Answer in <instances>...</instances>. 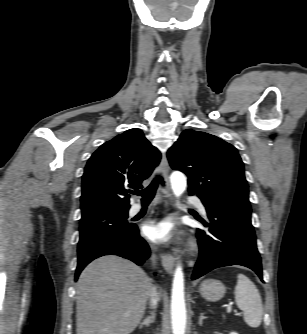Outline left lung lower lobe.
I'll return each instance as SVG.
<instances>
[{
    "mask_svg": "<svg viewBox=\"0 0 307 334\" xmlns=\"http://www.w3.org/2000/svg\"><path fill=\"white\" fill-rule=\"evenodd\" d=\"M205 207L210 222L203 223L210 228L207 231L197 229L200 253L192 280L215 268L231 265L248 267L262 280L261 258L251 215L229 208Z\"/></svg>",
    "mask_w": 307,
    "mask_h": 334,
    "instance_id": "0a47b994",
    "label": "left lung lower lobe"
}]
</instances>
